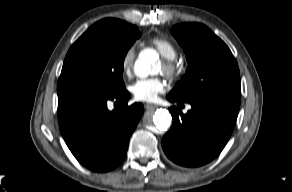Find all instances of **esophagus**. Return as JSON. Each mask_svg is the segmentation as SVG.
<instances>
[{"label": "esophagus", "mask_w": 292, "mask_h": 192, "mask_svg": "<svg viewBox=\"0 0 292 192\" xmlns=\"http://www.w3.org/2000/svg\"><path fill=\"white\" fill-rule=\"evenodd\" d=\"M144 106H145V109H147V110L155 109L157 107V105L149 104V103L145 104Z\"/></svg>", "instance_id": "obj_1"}]
</instances>
